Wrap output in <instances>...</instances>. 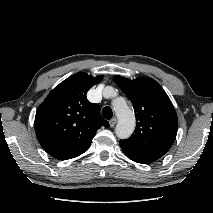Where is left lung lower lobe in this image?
<instances>
[{
  "instance_id": "0a47b994",
  "label": "left lung lower lobe",
  "mask_w": 213,
  "mask_h": 213,
  "mask_svg": "<svg viewBox=\"0 0 213 213\" xmlns=\"http://www.w3.org/2000/svg\"><path fill=\"white\" fill-rule=\"evenodd\" d=\"M120 146H121L123 152L125 153V155L129 159H131V160H133V161H135L137 163L149 164V163H152V162L157 160L156 158H152V157H148V156H144V155L138 154V153L134 152L133 150H131V149L127 148V147H124L122 145H120Z\"/></svg>"
}]
</instances>
